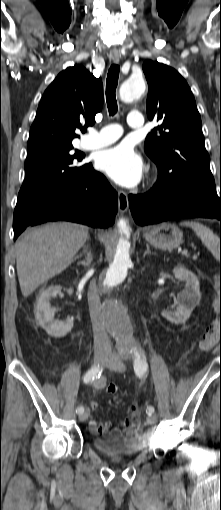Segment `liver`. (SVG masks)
Listing matches in <instances>:
<instances>
[{
    "mask_svg": "<svg viewBox=\"0 0 221 510\" xmlns=\"http://www.w3.org/2000/svg\"><path fill=\"white\" fill-rule=\"evenodd\" d=\"M88 239V227L59 222L31 229L15 245L21 292L28 297L50 278L64 271Z\"/></svg>",
    "mask_w": 221,
    "mask_h": 510,
    "instance_id": "6515ba94",
    "label": "liver"
}]
</instances>
